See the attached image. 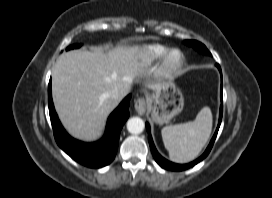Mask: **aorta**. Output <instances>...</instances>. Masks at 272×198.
Wrapping results in <instances>:
<instances>
[{"mask_svg":"<svg viewBox=\"0 0 272 198\" xmlns=\"http://www.w3.org/2000/svg\"><path fill=\"white\" fill-rule=\"evenodd\" d=\"M144 127V121L139 117H132L127 121V130L132 134H140Z\"/></svg>","mask_w":272,"mask_h":198,"instance_id":"aorta-1","label":"aorta"}]
</instances>
